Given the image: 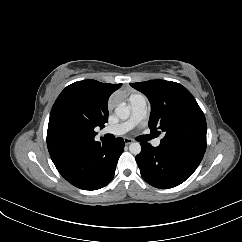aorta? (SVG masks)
I'll return each mask as SVG.
<instances>
[{
  "label": "aorta",
  "instance_id": "1",
  "mask_svg": "<svg viewBox=\"0 0 242 242\" xmlns=\"http://www.w3.org/2000/svg\"><path fill=\"white\" fill-rule=\"evenodd\" d=\"M115 114L121 120H126L130 116V109L127 106L119 105L115 108ZM129 151L137 155L141 152V145L138 142L131 143L129 146Z\"/></svg>",
  "mask_w": 242,
  "mask_h": 242
}]
</instances>
